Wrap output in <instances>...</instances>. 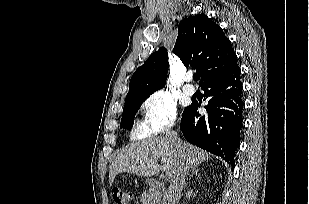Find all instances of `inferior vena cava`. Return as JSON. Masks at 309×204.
Returning <instances> with one entry per match:
<instances>
[{
	"label": "inferior vena cava",
	"instance_id": "602c4592",
	"mask_svg": "<svg viewBox=\"0 0 309 204\" xmlns=\"http://www.w3.org/2000/svg\"><path fill=\"white\" fill-rule=\"evenodd\" d=\"M168 139L176 146H180V140L178 139V135L175 131H170L167 133ZM189 165L185 159L180 160L179 167L173 176V180L169 186L165 197L164 204H176L182 189L185 186L186 177L189 173Z\"/></svg>",
	"mask_w": 309,
	"mask_h": 204
}]
</instances>
